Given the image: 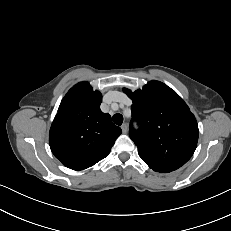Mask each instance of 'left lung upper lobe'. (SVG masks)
<instances>
[{"instance_id": "5c2ea615", "label": "left lung upper lobe", "mask_w": 231, "mask_h": 231, "mask_svg": "<svg viewBox=\"0 0 231 231\" xmlns=\"http://www.w3.org/2000/svg\"><path fill=\"white\" fill-rule=\"evenodd\" d=\"M132 121L129 135L141 159L154 171L168 173L180 168L193 155L198 141L195 116L183 99L162 82L152 80L143 89L131 92Z\"/></svg>"}]
</instances>
